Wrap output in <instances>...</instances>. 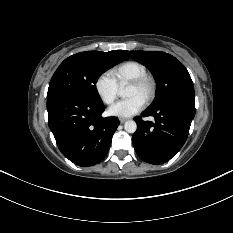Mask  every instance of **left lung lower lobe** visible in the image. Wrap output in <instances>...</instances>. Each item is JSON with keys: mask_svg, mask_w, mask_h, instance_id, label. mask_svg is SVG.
Masks as SVG:
<instances>
[{"mask_svg": "<svg viewBox=\"0 0 233 233\" xmlns=\"http://www.w3.org/2000/svg\"><path fill=\"white\" fill-rule=\"evenodd\" d=\"M150 115L155 122L142 120ZM194 115L195 106L182 102L148 107L135 117L138 128L132 142L137 155L150 164L169 161L184 145Z\"/></svg>", "mask_w": 233, "mask_h": 233, "instance_id": "left-lung-lower-lobe-1", "label": "left lung lower lobe"}]
</instances>
